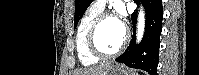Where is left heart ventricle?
I'll use <instances>...</instances> for the list:
<instances>
[{
    "mask_svg": "<svg viewBox=\"0 0 199 75\" xmlns=\"http://www.w3.org/2000/svg\"><path fill=\"white\" fill-rule=\"evenodd\" d=\"M124 33L116 18L106 19L100 26L97 34V42L106 52L115 50L123 41Z\"/></svg>",
    "mask_w": 199,
    "mask_h": 75,
    "instance_id": "left-heart-ventricle-1",
    "label": "left heart ventricle"
}]
</instances>
